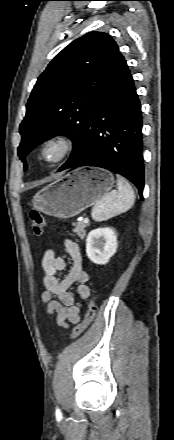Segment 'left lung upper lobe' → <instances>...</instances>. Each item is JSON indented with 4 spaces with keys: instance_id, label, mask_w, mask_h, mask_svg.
Returning <instances> with one entry per match:
<instances>
[{
    "instance_id": "left-lung-upper-lobe-1",
    "label": "left lung upper lobe",
    "mask_w": 174,
    "mask_h": 440,
    "mask_svg": "<svg viewBox=\"0 0 174 440\" xmlns=\"http://www.w3.org/2000/svg\"><path fill=\"white\" fill-rule=\"evenodd\" d=\"M121 57L108 34L90 32L74 40L50 62L33 88L20 124L18 155L24 163L31 148L56 135L73 141L72 154L64 165L79 154L89 110Z\"/></svg>"
}]
</instances>
